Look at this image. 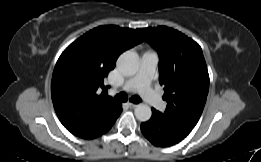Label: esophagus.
<instances>
[{"instance_id":"esophagus-1","label":"esophagus","mask_w":261,"mask_h":162,"mask_svg":"<svg viewBox=\"0 0 261 162\" xmlns=\"http://www.w3.org/2000/svg\"><path fill=\"white\" fill-rule=\"evenodd\" d=\"M128 105L131 107V108H135L138 106V104H135V103H128Z\"/></svg>"}]
</instances>
